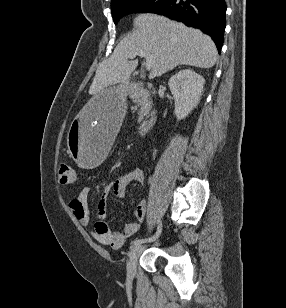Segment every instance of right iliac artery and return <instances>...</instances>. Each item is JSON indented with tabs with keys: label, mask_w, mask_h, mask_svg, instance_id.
<instances>
[{
	"label": "right iliac artery",
	"mask_w": 286,
	"mask_h": 308,
	"mask_svg": "<svg viewBox=\"0 0 286 308\" xmlns=\"http://www.w3.org/2000/svg\"><path fill=\"white\" fill-rule=\"evenodd\" d=\"M161 230H162V224H161V221H158V227H157V232H156V234L153 236V237H151V238H149V239H144V238H137V239H135L133 242H132V247H135V246H137V245H140V244H142V243H144V242H146V241H153L154 239H156V238H158L159 237V235H160V233H161Z\"/></svg>",
	"instance_id": "obj_1"
}]
</instances>
